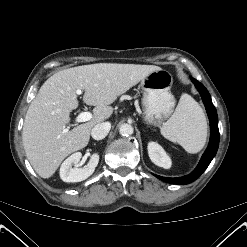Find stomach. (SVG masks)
<instances>
[{"label":"stomach","mask_w":247,"mask_h":247,"mask_svg":"<svg viewBox=\"0 0 247 247\" xmlns=\"http://www.w3.org/2000/svg\"><path fill=\"white\" fill-rule=\"evenodd\" d=\"M173 77L164 69L149 73L140 82L143 92V117L149 124L160 126L173 113L175 98L171 94Z\"/></svg>","instance_id":"obj_1"}]
</instances>
